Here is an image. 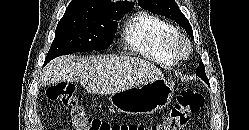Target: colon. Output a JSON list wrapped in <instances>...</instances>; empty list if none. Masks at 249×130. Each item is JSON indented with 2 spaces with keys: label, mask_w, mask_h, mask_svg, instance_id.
<instances>
[{
  "label": "colon",
  "mask_w": 249,
  "mask_h": 130,
  "mask_svg": "<svg viewBox=\"0 0 249 130\" xmlns=\"http://www.w3.org/2000/svg\"><path fill=\"white\" fill-rule=\"evenodd\" d=\"M47 97L69 110L74 130H184L193 114L200 111L204 104L203 95L185 88L176 97L169 114L160 123L145 126L135 123H110L89 116L78 104L75 86L71 83H58L50 86Z\"/></svg>",
  "instance_id": "1"
}]
</instances>
